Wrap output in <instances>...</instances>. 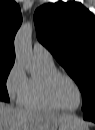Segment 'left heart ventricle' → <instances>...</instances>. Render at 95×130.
Instances as JSON below:
<instances>
[{"label":"left heart ventricle","instance_id":"obj_1","mask_svg":"<svg viewBox=\"0 0 95 130\" xmlns=\"http://www.w3.org/2000/svg\"><path fill=\"white\" fill-rule=\"evenodd\" d=\"M54 95L58 102L66 108L73 109L79 104V92L68 79H59L54 86Z\"/></svg>","mask_w":95,"mask_h":130}]
</instances>
